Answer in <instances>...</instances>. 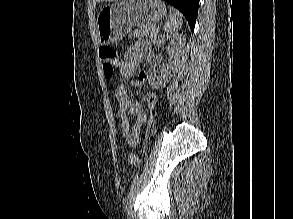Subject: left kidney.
<instances>
[{
    "instance_id": "5707ae66",
    "label": "left kidney",
    "mask_w": 293,
    "mask_h": 219,
    "mask_svg": "<svg viewBox=\"0 0 293 219\" xmlns=\"http://www.w3.org/2000/svg\"><path fill=\"white\" fill-rule=\"evenodd\" d=\"M166 40H171V48L168 50V63L162 66L160 73L148 71V82L156 89L165 87L166 83L171 78V70L173 66L178 62L184 42L181 35L164 34L154 41L156 46H161Z\"/></svg>"
}]
</instances>
